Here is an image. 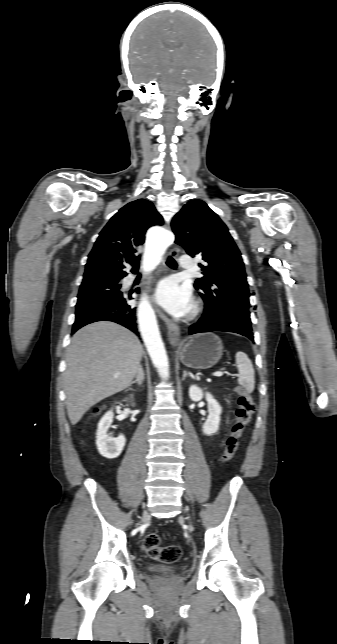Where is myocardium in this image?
<instances>
[{
    "instance_id": "myocardium-1",
    "label": "myocardium",
    "mask_w": 337,
    "mask_h": 644,
    "mask_svg": "<svg viewBox=\"0 0 337 644\" xmlns=\"http://www.w3.org/2000/svg\"><path fill=\"white\" fill-rule=\"evenodd\" d=\"M200 309H201L200 304H199L198 302H196V303L193 305V307H192V314H193V315L198 314V313H199V311H200Z\"/></svg>"
}]
</instances>
